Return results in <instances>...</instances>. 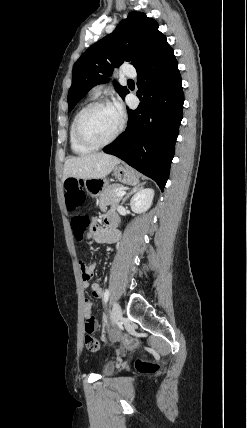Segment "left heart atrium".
Returning <instances> with one entry per match:
<instances>
[{
	"instance_id": "left-heart-atrium-1",
	"label": "left heart atrium",
	"mask_w": 247,
	"mask_h": 428,
	"mask_svg": "<svg viewBox=\"0 0 247 428\" xmlns=\"http://www.w3.org/2000/svg\"><path fill=\"white\" fill-rule=\"evenodd\" d=\"M114 115L116 116V118L118 119V121L122 120L123 117V109L122 106L120 104V102L115 101L110 105Z\"/></svg>"
}]
</instances>
